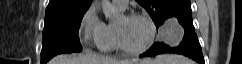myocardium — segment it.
<instances>
[{"label":"myocardium","instance_id":"myocardium-1","mask_svg":"<svg viewBox=\"0 0 242 64\" xmlns=\"http://www.w3.org/2000/svg\"><path fill=\"white\" fill-rule=\"evenodd\" d=\"M124 17L127 19H140V20L145 21L150 28V33H149L148 40L146 41V43L144 45H142L141 47H138V48H132V47L127 46L123 42L120 31L116 26V41H117L118 47L127 54L136 55V54L144 53L153 45V43L155 41L156 25H155L154 21L148 15L143 14V13H130V14L125 15Z\"/></svg>","mask_w":242,"mask_h":64}]
</instances>
